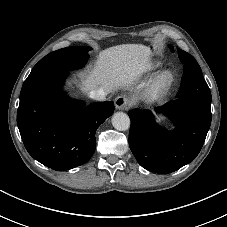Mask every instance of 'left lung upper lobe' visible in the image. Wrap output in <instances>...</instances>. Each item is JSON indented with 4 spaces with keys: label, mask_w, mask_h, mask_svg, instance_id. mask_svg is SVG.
<instances>
[{
    "label": "left lung upper lobe",
    "mask_w": 227,
    "mask_h": 227,
    "mask_svg": "<svg viewBox=\"0 0 227 227\" xmlns=\"http://www.w3.org/2000/svg\"><path fill=\"white\" fill-rule=\"evenodd\" d=\"M170 48L172 49L171 46ZM178 54L184 63V76L177 99H196L211 102V92L195 58L181 49H178Z\"/></svg>",
    "instance_id": "left-lung-upper-lobe-1"
}]
</instances>
